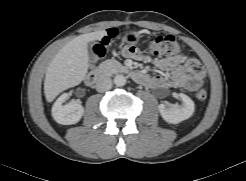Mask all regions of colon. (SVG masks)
<instances>
[{
	"mask_svg": "<svg viewBox=\"0 0 246 181\" xmlns=\"http://www.w3.org/2000/svg\"><path fill=\"white\" fill-rule=\"evenodd\" d=\"M116 36V32L112 31L109 37H104L92 47V54L95 58H102L107 50L110 38ZM147 45L151 54L155 57L176 55L182 51V46L172 35H153L147 39ZM190 69L197 75L202 72V66L194 60L190 63ZM195 97L202 101L207 98V92L204 89H198Z\"/></svg>",
	"mask_w": 246,
	"mask_h": 181,
	"instance_id": "1",
	"label": "colon"
}]
</instances>
